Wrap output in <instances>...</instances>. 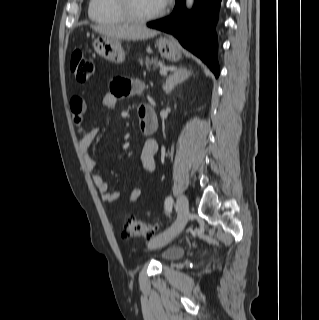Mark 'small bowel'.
<instances>
[{
	"instance_id": "obj_1",
	"label": "small bowel",
	"mask_w": 319,
	"mask_h": 320,
	"mask_svg": "<svg viewBox=\"0 0 319 320\" xmlns=\"http://www.w3.org/2000/svg\"><path fill=\"white\" fill-rule=\"evenodd\" d=\"M144 84L139 80L128 79L124 77H117L111 81L110 91L106 93L101 99V106L104 110L110 111L114 109L118 99L126 98L134 95H142L144 92ZM147 105H141L139 111ZM70 110L73 115L74 122L79 128L81 134L79 139V148L83 154L87 169L94 173L93 181L101 194L102 201L111 204L115 202L119 196V192L110 191L107 182L103 177L97 173L96 162L90 154V148L96 139L99 130L92 128L86 130L83 127V114L85 104L81 97L75 96L70 101ZM158 153V143L154 139H147L142 147L140 153V164L146 171L152 172L156 168V156ZM142 190L139 187H134L126 197L128 202H134L141 196Z\"/></svg>"
}]
</instances>
